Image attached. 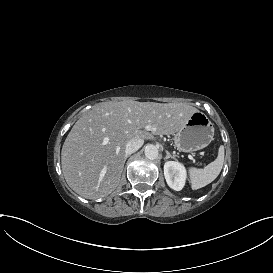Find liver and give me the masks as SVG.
Masks as SVG:
<instances>
[{
  "instance_id": "1",
  "label": "liver",
  "mask_w": 273,
  "mask_h": 273,
  "mask_svg": "<svg viewBox=\"0 0 273 273\" xmlns=\"http://www.w3.org/2000/svg\"><path fill=\"white\" fill-rule=\"evenodd\" d=\"M197 111L184 103L126 100L94 105L64 142L61 164L66 182L88 199L109 195L119 184L130 139L173 134ZM149 124L151 133L144 130Z\"/></svg>"
}]
</instances>
